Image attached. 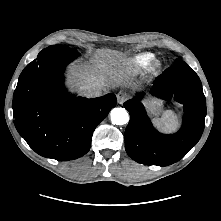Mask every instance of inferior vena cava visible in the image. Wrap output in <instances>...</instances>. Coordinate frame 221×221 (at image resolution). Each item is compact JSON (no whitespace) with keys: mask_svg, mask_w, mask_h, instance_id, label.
Segmentation results:
<instances>
[{"mask_svg":"<svg viewBox=\"0 0 221 221\" xmlns=\"http://www.w3.org/2000/svg\"><path fill=\"white\" fill-rule=\"evenodd\" d=\"M102 85H87L83 88V95L87 97H98L102 94Z\"/></svg>","mask_w":221,"mask_h":221,"instance_id":"1","label":"inferior vena cava"}]
</instances>
